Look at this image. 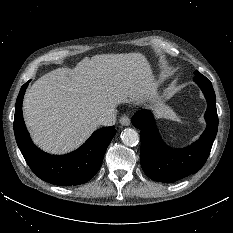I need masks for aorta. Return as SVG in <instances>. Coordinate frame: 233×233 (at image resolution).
Wrapping results in <instances>:
<instances>
[{"label": "aorta", "mask_w": 233, "mask_h": 233, "mask_svg": "<svg viewBox=\"0 0 233 233\" xmlns=\"http://www.w3.org/2000/svg\"><path fill=\"white\" fill-rule=\"evenodd\" d=\"M122 142L127 146H135L139 142V134L136 130L127 128L121 133Z\"/></svg>", "instance_id": "obj_1"}]
</instances>
